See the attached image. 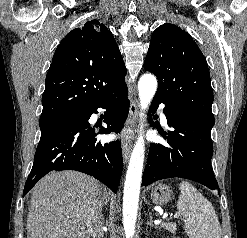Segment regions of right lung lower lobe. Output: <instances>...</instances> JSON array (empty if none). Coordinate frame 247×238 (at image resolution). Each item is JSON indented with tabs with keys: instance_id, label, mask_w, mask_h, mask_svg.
Wrapping results in <instances>:
<instances>
[{
	"instance_id": "98d812e1",
	"label": "right lung lower lobe",
	"mask_w": 247,
	"mask_h": 238,
	"mask_svg": "<svg viewBox=\"0 0 247 238\" xmlns=\"http://www.w3.org/2000/svg\"><path fill=\"white\" fill-rule=\"evenodd\" d=\"M107 109L102 126H90L88 120L98 108ZM126 83L91 107L75 113L64 124L41 134L34 163L26 180L23 196L50 171L76 170L91 175L114 193L118 189L123 159L119 141L101 144L95 136L120 132L128 116Z\"/></svg>"
}]
</instances>
